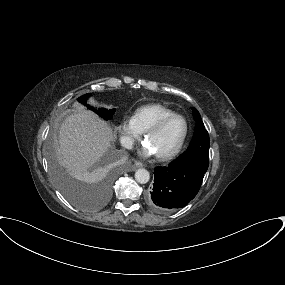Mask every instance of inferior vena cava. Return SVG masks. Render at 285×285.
<instances>
[{
  "label": "inferior vena cava",
  "instance_id": "obj_1",
  "mask_svg": "<svg viewBox=\"0 0 285 285\" xmlns=\"http://www.w3.org/2000/svg\"><path fill=\"white\" fill-rule=\"evenodd\" d=\"M120 143L126 149H132L133 144H134V140L130 137L123 136L120 138Z\"/></svg>",
  "mask_w": 285,
  "mask_h": 285
}]
</instances>
